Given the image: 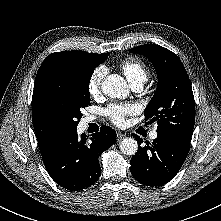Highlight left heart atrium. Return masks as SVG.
<instances>
[{
    "label": "left heart atrium",
    "instance_id": "1",
    "mask_svg": "<svg viewBox=\"0 0 221 221\" xmlns=\"http://www.w3.org/2000/svg\"><path fill=\"white\" fill-rule=\"evenodd\" d=\"M135 112V105L130 103H113L103 110L104 115L115 125L124 124L126 116L132 115Z\"/></svg>",
    "mask_w": 221,
    "mask_h": 221
}]
</instances>
